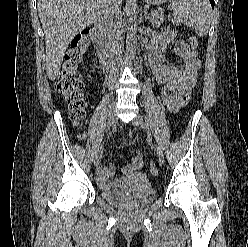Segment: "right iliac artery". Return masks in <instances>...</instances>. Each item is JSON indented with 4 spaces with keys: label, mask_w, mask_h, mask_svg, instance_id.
Instances as JSON below:
<instances>
[{
    "label": "right iliac artery",
    "mask_w": 248,
    "mask_h": 247,
    "mask_svg": "<svg viewBox=\"0 0 248 247\" xmlns=\"http://www.w3.org/2000/svg\"><path fill=\"white\" fill-rule=\"evenodd\" d=\"M110 130V127L107 125V129H106V134L107 132Z\"/></svg>",
    "instance_id": "obj_1"
}]
</instances>
